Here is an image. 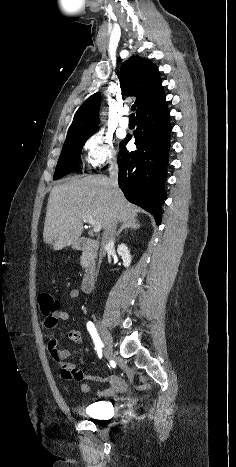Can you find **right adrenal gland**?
<instances>
[{"label": "right adrenal gland", "mask_w": 236, "mask_h": 467, "mask_svg": "<svg viewBox=\"0 0 236 467\" xmlns=\"http://www.w3.org/2000/svg\"><path fill=\"white\" fill-rule=\"evenodd\" d=\"M140 228V224L132 219V220H129L127 222H123L120 229L118 230V232L116 233V237H120V234L121 232L125 229H132V230H136V229H139Z\"/></svg>", "instance_id": "2a0ac1e0"}]
</instances>
